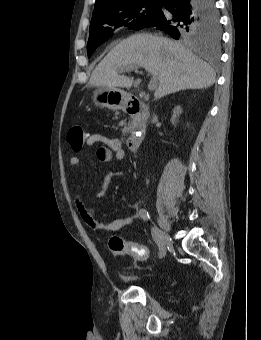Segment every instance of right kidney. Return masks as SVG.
<instances>
[{
	"mask_svg": "<svg viewBox=\"0 0 261 340\" xmlns=\"http://www.w3.org/2000/svg\"><path fill=\"white\" fill-rule=\"evenodd\" d=\"M182 113V108H181V106H176L174 109H173V115H172V117H171V123L173 124V125H175L176 124V122H177V117H179V115Z\"/></svg>",
	"mask_w": 261,
	"mask_h": 340,
	"instance_id": "obj_1",
	"label": "right kidney"
}]
</instances>
